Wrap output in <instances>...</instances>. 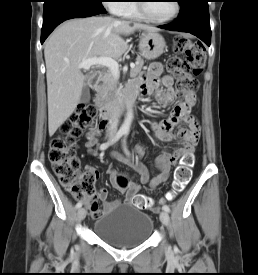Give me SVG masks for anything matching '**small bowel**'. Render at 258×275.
Returning <instances> with one entry per match:
<instances>
[{
	"label": "small bowel",
	"instance_id": "small-bowel-1",
	"mask_svg": "<svg viewBox=\"0 0 258 275\" xmlns=\"http://www.w3.org/2000/svg\"><path fill=\"white\" fill-rule=\"evenodd\" d=\"M163 71L161 63H153L143 76L131 81L127 88H135L138 89L141 94L149 95L161 85L165 92L160 93L159 103L160 105L168 106L174 101L173 78L170 75H163ZM195 102L196 97L192 94L187 97L184 102L176 105L166 120L152 122L151 128L154 139L160 142H171L179 139L182 146L174 151L163 150L161 152L156 158V166L160 172L151 181L147 168L138 162V159L145 154V149L142 146L135 148L134 160H128L113 154L114 158L133 168L139 175V183L129 181L127 187L121 189L117 184V173L115 171L110 173L111 182L117 185L122 193H124L126 203L132 202L135 195L141 190L142 184L149 183L151 188H155L165 183L170 176L172 166L185 154L193 151L200 135L199 125L196 119L190 115ZM179 124H185V127L180 128L176 132L175 128ZM106 125L107 124L102 122L86 133V147L90 154H93L94 148L98 144V138L106 128ZM88 170L96 174V170L93 167H88ZM107 195V189L100 187L97 190L96 199L86 198L83 201L93 217H100L104 213L112 211L118 204L117 201H106ZM98 200L105 201L103 210L100 209Z\"/></svg>",
	"mask_w": 258,
	"mask_h": 275
}]
</instances>
